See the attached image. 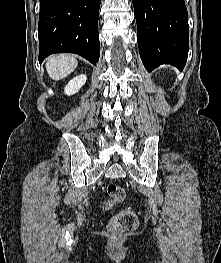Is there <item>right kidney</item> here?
Segmentation results:
<instances>
[{"instance_id": "1", "label": "right kidney", "mask_w": 221, "mask_h": 263, "mask_svg": "<svg viewBox=\"0 0 221 263\" xmlns=\"http://www.w3.org/2000/svg\"><path fill=\"white\" fill-rule=\"evenodd\" d=\"M86 80L87 77L84 74L74 77L66 85L64 89V93L67 94L68 96L77 93L80 90V88L85 84Z\"/></svg>"}]
</instances>
